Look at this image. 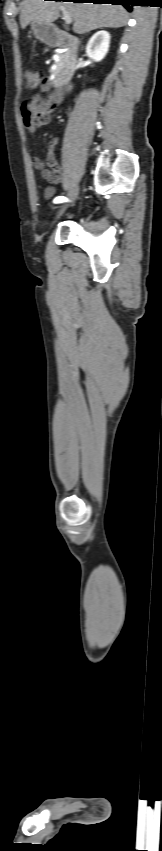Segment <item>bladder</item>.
<instances>
[{
    "label": "bladder",
    "mask_w": 162,
    "mask_h": 851,
    "mask_svg": "<svg viewBox=\"0 0 162 851\" xmlns=\"http://www.w3.org/2000/svg\"><path fill=\"white\" fill-rule=\"evenodd\" d=\"M51 194H52V189H51V188H48V189L46 190V192H45V195L48 197V196H50Z\"/></svg>",
    "instance_id": "31cf9c89"
}]
</instances>
